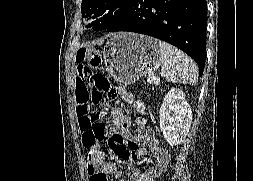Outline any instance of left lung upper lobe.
<instances>
[{
  "instance_id": "left-lung-upper-lobe-1",
  "label": "left lung upper lobe",
  "mask_w": 253,
  "mask_h": 181,
  "mask_svg": "<svg viewBox=\"0 0 253 181\" xmlns=\"http://www.w3.org/2000/svg\"><path fill=\"white\" fill-rule=\"evenodd\" d=\"M133 0H82L83 17L95 19L86 27L107 30L115 25L129 10Z\"/></svg>"
}]
</instances>
